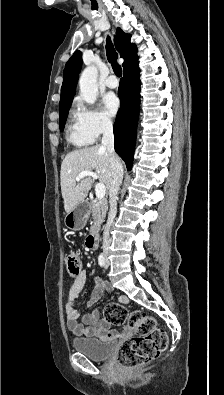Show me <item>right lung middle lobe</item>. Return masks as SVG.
<instances>
[{"label":"right lung middle lobe","instance_id":"1","mask_svg":"<svg viewBox=\"0 0 224 395\" xmlns=\"http://www.w3.org/2000/svg\"><path fill=\"white\" fill-rule=\"evenodd\" d=\"M70 106H71V105H69V106H67V107H65V108L59 110L60 131H62L63 128H64V124H65V121H66V118H67V115H68V111H69V109H70Z\"/></svg>","mask_w":224,"mask_h":395}]
</instances>
